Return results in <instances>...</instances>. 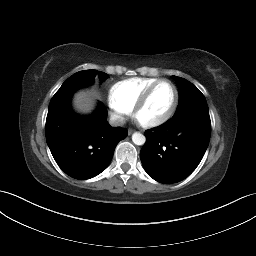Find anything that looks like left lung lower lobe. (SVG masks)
I'll return each mask as SVG.
<instances>
[{
  "mask_svg": "<svg viewBox=\"0 0 256 256\" xmlns=\"http://www.w3.org/2000/svg\"><path fill=\"white\" fill-rule=\"evenodd\" d=\"M211 134L209 113L197 110L173 116L145 132L140 158L154 180L171 184L182 181L199 165Z\"/></svg>",
  "mask_w": 256,
  "mask_h": 256,
  "instance_id": "obj_1",
  "label": "left lung lower lobe"
}]
</instances>
